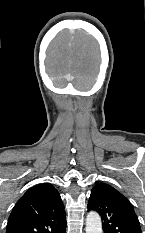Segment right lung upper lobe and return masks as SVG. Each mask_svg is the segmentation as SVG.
I'll return each instance as SVG.
<instances>
[{"mask_svg":"<svg viewBox=\"0 0 145 233\" xmlns=\"http://www.w3.org/2000/svg\"><path fill=\"white\" fill-rule=\"evenodd\" d=\"M66 225L58 191L48 183L30 188L16 203L6 233H56Z\"/></svg>","mask_w":145,"mask_h":233,"instance_id":"1","label":"right lung upper lobe"}]
</instances>
